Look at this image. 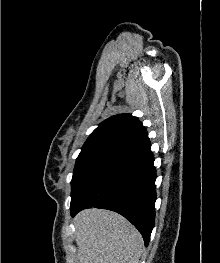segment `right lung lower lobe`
Masks as SVG:
<instances>
[{
  "label": "right lung lower lobe",
  "mask_w": 220,
  "mask_h": 263,
  "mask_svg": "<svg viewBox=\"0 0 220 263\" xmlns=\"http://www.w3.org/2000/svg\"><path fill=\"white\" fill-rule=\"evenodd\" d=\"M155 180L154 156L147 139L109 160L71 203V215L86 207L118 212L139 230L147 246L155 221Z\"/></svg>",
  "instance_id": "1"
}]
</instances>
